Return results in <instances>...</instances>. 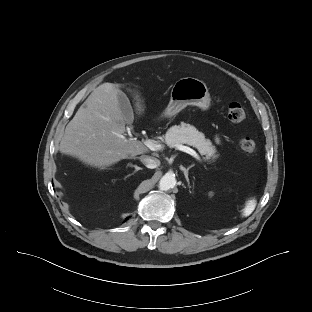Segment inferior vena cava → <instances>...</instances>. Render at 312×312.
Wrapping results in <instances>:
<instances>
[{
    "instance_id": "1",
    "label": "inferior vena cava",
    "mask_w": 312,
    "mask_h": 312,
    "mask_svg": "<svg viewBox=\"0 0 312 312\" xmlns=\"http://www.w3.org/2000/svg\"><path fill=\"white\" fill-rule=\"evenodd\" d=\"M139 159L149 169H154L160 165V161L154 157L142 155Z\"/></svg>"
}]
</instances>
